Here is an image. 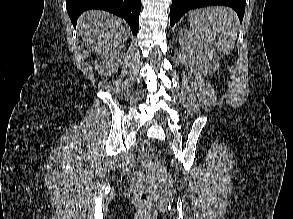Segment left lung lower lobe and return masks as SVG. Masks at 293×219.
<instances>
[{
	"label": "left lung lower lobe",
	"mask_w": 293,
	"mask_h": 219,
	"mask_svg": "<svg viewBox=\"0 0 293 219\" xmlns=\"http://www.w3.org/2000/svg\"><path fill=\"white\" fill-rule=\"evenodd\" d=\"M210 5H226L236 11L242 22L245 0H173L170 8V24L173 26L187 11Z\"/></svg>",
	"instance_id": "0a47b994"
}]
</instances>
